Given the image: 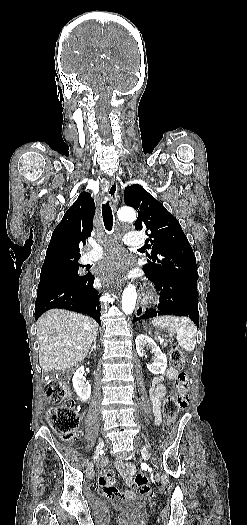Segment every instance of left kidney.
<instances>
[{
  "instance_id": "1",
  "label": "left kidney",
  "mask_w": 247,
  "mask_h": 525,
  "mask_svg": "<svg viewBox=\"0 0 247 525\" xmlns=\"http://www.w3.org/2000/svg\"><path fill=\"white\" fill-rule=\"evenodd\" d=\"M135 345L139 357H144V347H146V345L151 349V353H154L155 359L153 363L147 365V369H149L153 375H162V373H165L167 369V357L162 353L161 349L157 347L153 339H150L147 335H137Z\"/></svg>"
}]
</instances>
